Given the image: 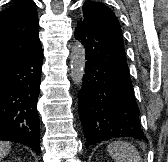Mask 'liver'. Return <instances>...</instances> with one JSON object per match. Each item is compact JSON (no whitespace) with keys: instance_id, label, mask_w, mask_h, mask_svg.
Here are the masks:
<instances>
[{"instance_id":"liver-1","label":"liver","mask_w":168,"mask_h":162,"mask_svg":"<svg viewBox=\"0 0 168 162\" xmlns=\"http://www.w3.org/2000/svg\"><path fill=\"white\" fill-rule=\"evenodd\" d=\"M10 143L7 141H0V161L9 153Z\"/></svg>"}]
</instances>
